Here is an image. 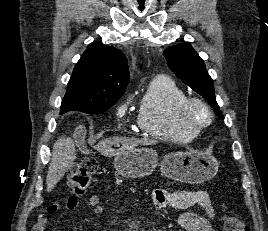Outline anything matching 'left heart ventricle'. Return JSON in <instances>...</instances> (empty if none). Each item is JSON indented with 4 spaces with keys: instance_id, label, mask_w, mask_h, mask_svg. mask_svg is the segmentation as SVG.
Listing matches in <instances>:
<instances>
[{
    "instance_id": "1",
    "label": "left heart ventricle",
    "mask_w": 268,
    "mask_h": 231,
    "mask_svg": "<svg viewBox=\"0 0 268 231\" xmlns=\"http://www.w3.org/2000/svg\"><path fill=\"white\" fill-rule=\"evenodd\" d=\"M193 115L196 119H201L203 117V113L199 109H195Z\"/></svg>"
}]
</instances>
